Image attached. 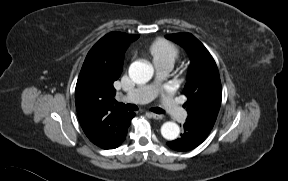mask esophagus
Masks as SVG:
<instances>
[{"label": "esophagus", "instance_id": "esophagus-1", "mask_svg": "<svg viewBox=\"0 0 288 181\" xmlns=\"http://www.w3.org/2000/svg\"><path fill=\"white\" fill-rule=\"evenodd\" d=\"M150 114L154 119H157V120L163 118V115H161V114H157V113H150Z\"/></svg>", "mask_w": 288, "mask_h": 181}]
</instances>
